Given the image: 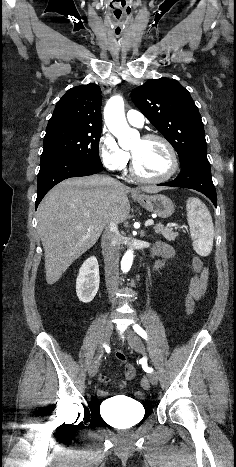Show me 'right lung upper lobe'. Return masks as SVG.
<instances>
[{
	"label": "right lung upper lobe",
	"instance_id": "obj_1",
	"mask_svg": "<svg viewBox=\"0 0 236 467\" xmlns=\"http://www.w3.org/2000/svg\"><path fill=\"white\" fill-rule=\"evenodd\" d=\"M101 89L96 84L77 86L68 90L57 102L47 128L70 126L102 128Z\"/></svg>",
	"mask_w": 236,
	"mask_h": 467
}]
</instances>
